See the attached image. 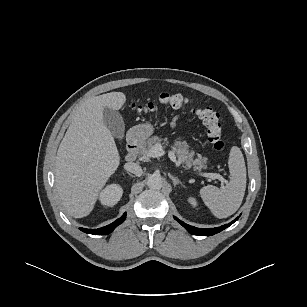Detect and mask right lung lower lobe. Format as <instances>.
<instances>
[{
  "instance_id": "obj_1",
  "label": "right lung lower lobe",
  "mask_w": 307,
  "mask_h": 307,
  "mask_svg": "<svg viewBox=\"0 0 307 307\" xmlns=\"http://www.w3.org/2000/svg\"><path fill=\"white\" fill-rule=\"evenodd\" d=\"M126 218V213L123 214V216L120 219H117L113 223L99 229H86V228H80L85 233L93 234V235H106L112 232L118 225H120Z\"/></svg>"
}]
</instances>
